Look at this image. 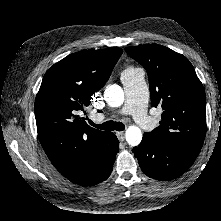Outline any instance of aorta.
Instances as JSON below:
<instances>
[{
  "label": "aorta",
  "instance_id": "762f6f07",
  "mask_svg": "<svg viewBox=\"0 0 221 221\" xmlns=\"http://www.w3.org/2000/svg\"><path fill=\"white\" fill-rule=\"evenodd\" d=\"M104 99L110 107H120L124 102V92L117 84L108 85L104 91ZM126 141L131 146H137L142 140V132L139 127L130 125L126 130Z\"/></svg>",
  "mask_w": 221,
  "mask_h": 221
}]
</instances>
